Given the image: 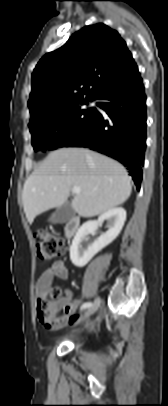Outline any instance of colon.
<instances>
[{"label": "colon", "mask_w": 168, "mask_h": 406, "mask_svg": "<svg viewBox=\"0 0 168 406\" xmlns=\"http://www.w3.org/2000/svg\"><path fill=\"white\" fill-rule=\"evenodd\" d=\"M34 241L37 257L41 261H50L62 256L67 249L66 243L59 236L45 230L35 232ZM50 294L53 297H58L60 295V290L58 288H52ZM37 307L39 317L45 325L56 323L57 307L55 301L40 299ZM72 320L73 319L70 321Z\"/></svg>", "instance_id": "5ec220e1"}]
</instances>
